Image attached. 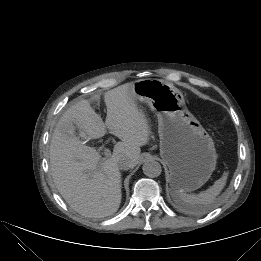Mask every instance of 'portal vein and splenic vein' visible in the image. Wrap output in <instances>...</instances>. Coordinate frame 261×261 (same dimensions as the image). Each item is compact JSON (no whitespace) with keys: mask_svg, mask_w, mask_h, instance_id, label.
<instances>
[{"mask_svg":"<svg viewBox=\"0 0 261 261\" xmlns=\"http://www.w3.org/2000/svg\"><path fill=\"white\" fill-rule=\"evenodd\" d=\"M110 154H111V152H110V150L109 149H104V155L106 156V157H108V156H110Z\"/></svg>","mask_w":261,"mask_h":261,"instance_id":"portal-vein-and-splenic-vein-1","label":"portal vein and splenic vein"}]
</instances>
